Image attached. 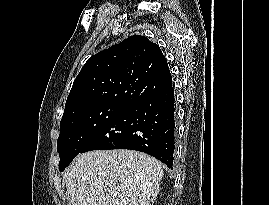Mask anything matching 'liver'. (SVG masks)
I'll use <instances>...</instances> for the list:
<instances>
[{"mask_svg":"<svg viewBox=\"0 0 269 205\" xmlns=\"http://www.w3.org/2000/svg\"><path fill=\"white\" fill-rule=\"evenodd\" d=\"M163 169L155 158L134 150L80 154L65 176L72 205H150Z\"/></svg>","mask_w":269,"mask_h":205,"instance_id":"6515ba94","label":"liver"}]
</instances>
